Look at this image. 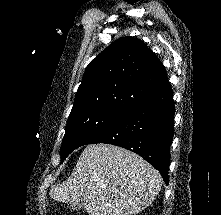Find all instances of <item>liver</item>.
<instances>
[{"label":"liver","mask_w":221,"mask_h":215,"mask_svg":"<svg viewBox=\"0 0 221 215\" xmlns=\"http://www.w3.org/2000/svg\"><path fill=\"white\" fill-rule=\"evenodd\" d=\"M162 178L141 156L110 144L87 145L71 176L52 186L50 196L63 203L83 199L89 215H132L158 195Z\"/></svg>","instance_id":"1"}]
</instances>
